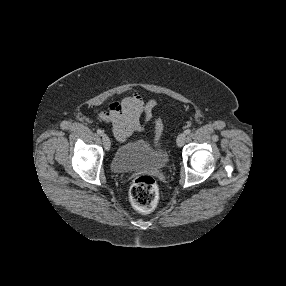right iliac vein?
<instances>
[{"label": "right iliac vein", "instance_id": "63e3f726", "mask_svg": "<svg viewBox=\"0 0 286 286\" xmlns=\"http://www.w3.org/2000/svg\"><path fill=\"white\" fill-rule=\"evenodd\" d=\"M102 141L105 149L108 151L110 149L111 142L107 134L102 135Z\"/></svg>", "mask_w": 286, "mask_h": 286}]
</instances>
